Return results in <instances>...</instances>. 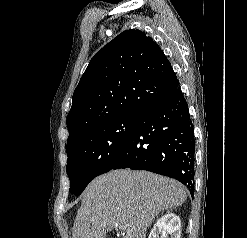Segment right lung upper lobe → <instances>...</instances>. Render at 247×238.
<instances>
[{
    "label": "right lung upper lobe",
    "instance_id": "cb5924a9",
    "mask_svg": "<svg viewBox=\"0 0 247 238\" xmlns=\"http://www.w3.org/2000/svg\"><path fill=\"white\" fill-rule=\"evenodd\" d=\"M179 81L161 48L140 30H126L90 61L67 117L71 143L115 118L141 114L167 98Z\"/></svg>",
    "mask_w": 247,
    "mask_h": 238
}]
</instances>
